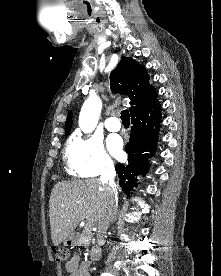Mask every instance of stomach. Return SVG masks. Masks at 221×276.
Instances as JSON below:
<instances>
[{"label": "stomach", "mask_w": 221, "mask_h": 276, "mask_svg": "<svg viewBox=\"0 0 221 276\" xmlns=\"http://www.w3.org/2000/svg\"><path fill=\"white\" fill-rule=\"evenodd\" d=\"M78 243V234L77 233H71L70 236L63 241V244L65 246H76Z\"/></svg>", "instance_id": "stomach-1"}]
</instances>
